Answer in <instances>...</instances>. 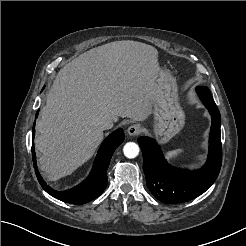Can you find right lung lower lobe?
Here are the masks:
<instances>
[{
	"label": "right lung lower lobe",
	"mask_w": 246,
	"mask_h": 246,
	"mask_svg": "<svg viewBox=\"0 0 246 246\" xmlns=\"http://www.w3.org/2000/svg\"><path fill=\"white\" fill-rule=\"evenodd\" d=\"M38 112L36 113V117ZM35 136V124L33 125V134ZM124 141V132L122 129H118L109 135L102 143L98 154L96 156L93 169L90 175L85 181L76 187L67 191H56L48 186L42 179L36 165V155L34 150V143H32V158L33 165L35 168V173L37 179L42 186V188L51 196L55 197L66 203H71L75 205H81L87 203L102 194L104 191L108 179H107V168L109 166L111 157L115 149Z\"/></svg>",
	"instance_id": "right-lung-lower-lobe-1"
}]
</instances>
